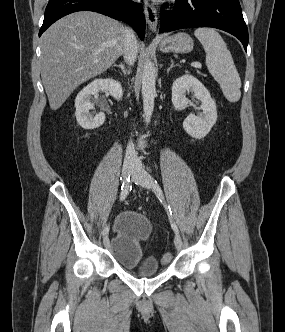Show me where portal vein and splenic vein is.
Masks as SVG:
<instances>
[{
  "mask_svg": "<svg viewBox=\"0 0 285 332\" xmlns=\"http://www.w3.org/2000/svg\"><path fill=\"white\" fill-rule=\"evenodd\" d=\"M191 65L196 68H201V63L199 62H193Z\"/></svg>",
  "mask_w": 285,
  "mask_h": 332,
  "instance_id": "portal-vein-and-splenic-vein-1",
  "label": "portal vein and splenic vein"
}]
</instances>
